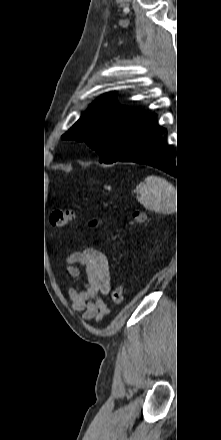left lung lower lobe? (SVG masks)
I'll return each instance as SVG.
<instances>
[{
	"mask_svg": "<svg viewBox=\"0 0 221 440\" xmlns=\"http://www.w3.org/2000/svg\"><path fill=\"white\" fill-rule=\"evenodd\" d=\"M165 129L158 126L156 114H147L134 129L125 153L117 161L147 164L179 178L180 169L172 149L162 141Z\"/></svg>",
	"mask_w": 221,
	"mask_h": 440,
	"instance_id": "obj_1",
	"label": "left lung lower lobe"
}]
</instances>
